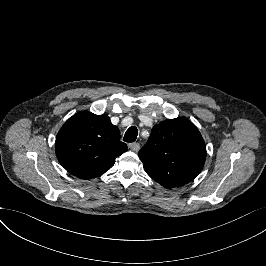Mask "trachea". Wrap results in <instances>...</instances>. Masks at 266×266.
<instances>
[{"instance_id":"obj_1","label":"trachea","mask_w":266,"mask_h":266,"mask_svg":"<svg viewBox=\"0 0 266 266\" xmlns=\"http://www.w3.org/2000/svg\"><path fill=\"white\" fill-rule=\"evenodd\" d=\"M137 135H138V130L136 127H130L125 135H124V141L125 142H135L136 138H137Z\"/></svg>"}]
</instances>
